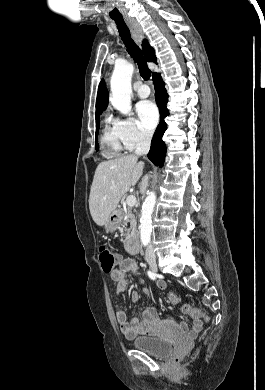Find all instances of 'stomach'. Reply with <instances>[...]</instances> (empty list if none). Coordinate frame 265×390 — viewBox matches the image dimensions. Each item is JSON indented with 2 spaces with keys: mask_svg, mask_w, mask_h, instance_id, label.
<instances>
[{
  "mask_svg": "<svg viewBox=\"0 0 265 390\" xmlns=\"http://www.w3.org/2000/svg\"><path fill=\"white\" fill-rule=\"evenodd\" d=\"M120 222H121V217L120 215L118 214L117 211H113L111 213V215L109 216L106 224H105V230L107 233H113L115 232L119 225H120Z\"/></svg>",
  "mask_w": 265,
  "mask_h": 390,
  "instance_id": "obj_1",
  "label": "stomach"
}]
</instances>
